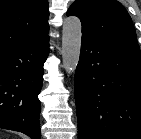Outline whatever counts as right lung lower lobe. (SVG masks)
<instances>
[{"mask_svg": "<svg viewBox=\"0 0 141 139\" xmlns=\"http://www.w3.org/2000/svg\"><path fill=\"white\" fill-rule=\"evenodd\" d=\"M48 53V36L0 52V128L40 139L38 94Z\"/></svg>", "mask_w": 141, "mask_h": 139, "instance_id": "obj_1", "label": "right lung lower lobe"}]
</instances>
